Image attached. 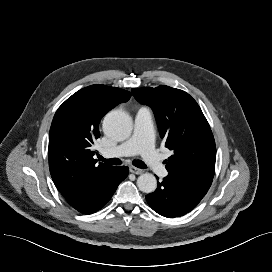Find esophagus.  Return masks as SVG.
<instances>
[{
  "label": "esophagus",
  "mask_w": 272,
  "mask_h": 272,
  "mask_svg": "<svg viewBox=\"0 0 272 272\" xmlns=\"http://www.w3.org/2000/svg\"><path fill=\"white\" fill-rule=\"evenodd\" d=\"M129 170H130L131 173L137 174V175L143 173V170H142V169L136 168V167H134V166H131V167L129 168Z\"/></svg>",
  "instance_id": "obj_1"
}]
</instances>
